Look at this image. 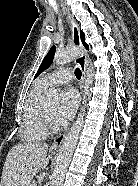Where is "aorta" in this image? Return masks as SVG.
<instances>
[{
  "label": "aorta",
  "mask_w": 138,
  "mask_h": 186,
  "mask_svg": "<svg viewBox=\"0 0 138 186\" xmlns=\"http://www.w3.org/2000/svg\"><path fill=\"white\" fill-rule=\"evenodd\" d=\"M80 55V50L76 47H68L63 50H59L55 53L54 63L58 66H63L68 62L74 60L77 56ZM86 80L83 91V102L80 109V113L72 125L70 131L65 136L63 143L61 145L59 155L56 160L54 171L51 175V185L50 186H63V181L65 178V173L70 164L73 151L78 143L80 132L84 123L85 108L87 106V99L90 97V87L93 84L95 71L94 68L90 65L86 71ZM51 99L53 101L59 100V95L57 90H51Z\"/></svg>",
  "instance_id": "762f6f07"
}]
</instances>
